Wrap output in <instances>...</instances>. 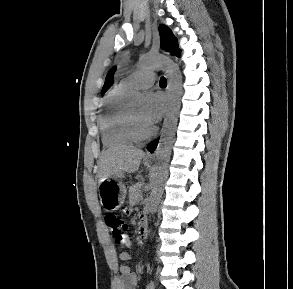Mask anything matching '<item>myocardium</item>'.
<instances>
[{"mask_svg":"<svg viewBox=\"0 0 293 289\" xmlns=\"http://www.w3.org/2000/svg\"><path fill=\"white\" fill-rule=\"evenodd\" d=\"M127 124L129 135L134 142H144L150 140L156 133L155 128H152L147 133L140 132L135 119L133 118L131 111L127 110Z\"/></svg>","mask_w":293,"mask_h":289,"instance_id":"obj_1","label":"myocardium"}]
</instances>
